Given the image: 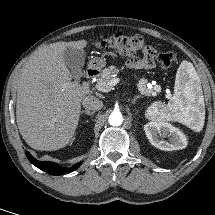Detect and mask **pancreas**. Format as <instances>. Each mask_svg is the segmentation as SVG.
I'll list each match as a JSON object with an SVG mask.
<instances>
[{
  "label": "pancreas",
  "instance_id": "cf45deb5",
  "mask_svg": "<svg viewBox=\"0 0 215 215\" xmlns=\"http://www.w3.org/2000/svg\"><path fill=\"white\" fill-rule=\"evenodd\" d=\"M120 71V69H118L115 66H109L108 68L103 69L102 73H101V77L98 79V83H107L112 79V76L114 74H117ZM134 78L137 79V76L134 75ZM147 79L145 78H141L138 81L137 87L139 92L142 95L145 96H156L157 92H159L161 90V87L159 85H155L154 88H149L147 86Z\"/></svg>",
  "mask_w": 215,
  "mask_h": 215
}]
</instances>
